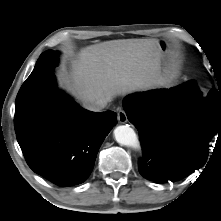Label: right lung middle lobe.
Returning <instances> with one entry per match:
<instances>
[{
	"instance_id": "right-lung-middle-lobe-1",
	"label": "right lung middle lobe",
	"mask_w": 221,
	"mask_h": 221,
	"mask_svg": "<svg viewBox=\"0 0 221 221\" xmlns=\"http://www.w3.org/2000/svg\"><path fill=\"white\" fill-rule=\"evenodd\" d=\"M57 52L48 50L43 52L33 70L37 73H53V68L57 64ZM42 90L29 91L26 94H20L16 98L15 118L14 123L16 126L22 125L29 119L40 104Z\"/></svg>"
}]
</instances>
